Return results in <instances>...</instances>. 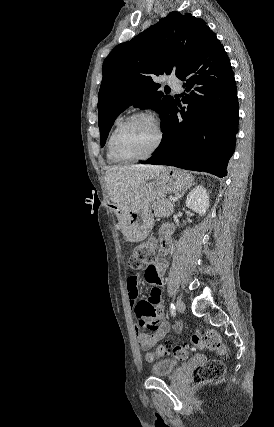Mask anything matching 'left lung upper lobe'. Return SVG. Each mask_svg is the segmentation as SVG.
<instances>
[{"label":"left lung upper lobe","mask_w":274,"mask_h":427,"mask_svg":"<svg viewBox=\"0 0 274 427\" xmlns=\"http://www.w3.org/2000/svg\"><path fill=\"white\" fill-rule=\"evenodd\" d=\"M216 35L206 22L191 14L171 12L132 40L116 46L106 57L98 94L101 147L115 119L131 105L152 108L161 117L174 99L158 91L155 75L175 73L179 78L208 39Z\"/></svg>","instance_id":"left-lung-upper-lobe-1"}]
</instances>
